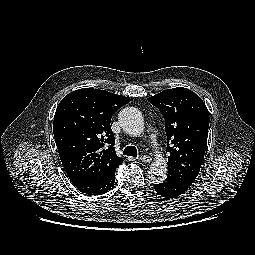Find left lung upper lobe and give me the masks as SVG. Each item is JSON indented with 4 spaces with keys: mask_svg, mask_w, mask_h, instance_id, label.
I'll use <instances>...</instances> for the list:
<instances>
[{
    "mask_svg": "<svg viewBox=\"0 0 255 255\" xmlns=\"http://www.w3.org/2000/svg\"><path fill=\"white\" fill-rule=\"evenodd\" d=\"M148 101L165 119L168 175L196 179L203 162L209 127V113L203 100L193 91L177 87L164 90Z\"/></svg>",
    "mask_w": 255,
    "mask_h": 255,
    "instance_id": "1",
    "label": "left lung upper lobe"
}]
</instances>
